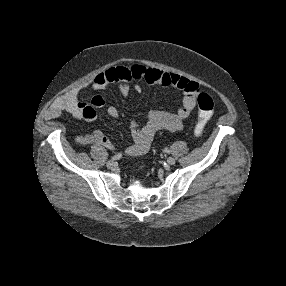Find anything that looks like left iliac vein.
Listing matches in <instances>:
<instances>
[{
  "label": "left iliac vein",
  "mask_w": 286,
  "mask_h": 286,
  "mask_svg": "<svg viewBox=\"0 0 286 286\" xmlns=\"http://www.w3.org/2000/svg\"><path fill=\"white\" fill-rule=\"evenodd\" d=\"M175 162H176V160H175L173 157H169V158L167 159V163H168L169 165H174Z\"/></svg>",
  "instance_id": "obj_1"
}]
</instances>
